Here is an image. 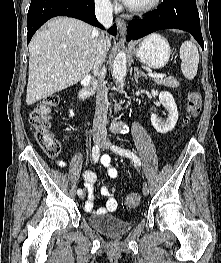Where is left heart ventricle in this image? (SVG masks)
Returning a JSON list of instances; mask_svg holds the SVG:
<instances>
[{"mask_svg": "<svg viewBox=\"0 0 221 263\" xmlns=\"http://www.w3.org/2000/svg\"><path fill=\"white\" fill-rule=\"evenodd\" d=\"M150 0H133L130 5L138 6L148 3Z\"/></svg>", "mask_w": 221, "mask_h": 263, "instance_id": "1", "label": "left heart ventricle"}]
</instances>
